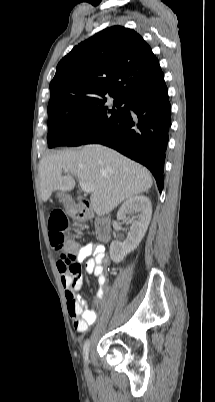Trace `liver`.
Returning a JSON list of instances; mask_svg holds the SVG:
<instances>
[{
	"label": "liver",
	"instance_id": "1",
	"mask_svg": "<svg viewBox=\"0 0 215 402\" xmlns=\"http://www.w3.org/2000/svg\"><path fill=\"white\" fill-rule=\"evenodd\" d=\"M64 169L71 175L63 176ZM72 176L94 186L91 205L101 216L152 186L151 174L146 168L108 147L93 144L41 159L39 178L42 200L47 201L54 191L73 190L75 180Z\"/></svg>",
	"mask_w": 215,
	"mask_h": 402
}]
</instances>
